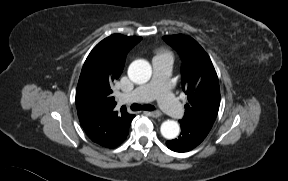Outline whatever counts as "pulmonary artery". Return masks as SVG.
<instances>
[{
	"mask_svg": "<svg viewBox=\"0 0 288 181\" xmlns=\"http://www.w3.org/2000/svg\"><path fill=\"white\" fill-rule=\"evenodd\" d=\"M153 78L147 85L130 94L127 99L136 102H146L157 98L160 106L174 119L184 115V109L169 89V76L172 70V59L169 56H158L153 59Z\"/></svg>",
	"mask_w": 288,
	"mask_h": 181,
	"instance_id": "1",
	"label": "pulmonary artery"
}]
</instances>
